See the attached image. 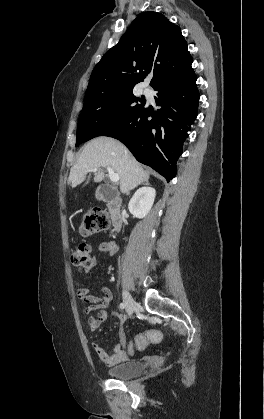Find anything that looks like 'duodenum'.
I'll return each instance as SVG.
<instances>
[{
	"instance_id": "duodenum-1",
	"label": "duodenum",
	"mask_w": 264,
	"mask_h": 419,
	"mask_svg": "<svg viewBox=\"0 0 264 419\" xmlns=\"http://www.w3.org/2000/svg\"><path fill=\"white\" fill-rule=\"evenodd\" d=\"M105 201L111 214L113 229L118 232L123 224L122 201L114 194L107 195Z\"/></svg>"
}]
</instances>
